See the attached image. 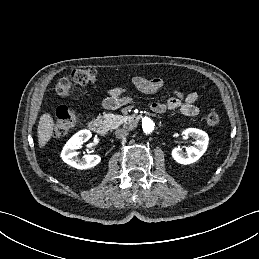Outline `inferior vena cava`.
<instances>
[{
    "label": "inferior vena cava",
    "instance_id": "obj_1",
    "mask_svg": "<svg viewBox=\"0 0 259 259\" xmlns=\"http://www.w3.org/2000/svg\"><path fill=\"white\" fill-rule=\"evenodd\" d=\"M128 135V131L126 129H117L115 132V136L118 139L125 138Z\"/></svg>",
    "mask_w": 259,
    "mask_h": 259
}]
</instances>
